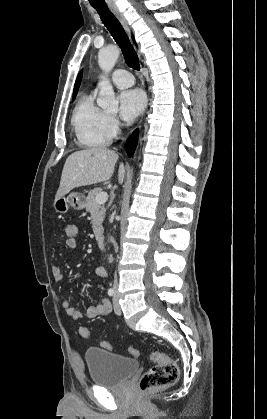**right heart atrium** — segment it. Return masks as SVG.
I'll use <instances>...</instances> for the list:
<instances>
[{
    "label": "right heart atrium",
    "mask_w": 267,
    "mask_h": 419,
    "mask_svg": "<svg viewBox=\"0 0 267 419\" xmlns=\"http://www.w3.org/2000/svg\"><path fill=\"white\" fill-rule=\"evenodd\" d=\"M107 126L110 134L113 136L116 133L118 122L113 116H108Z\"/></svg>",
    "instance_id": "1"
}]
</instances>
